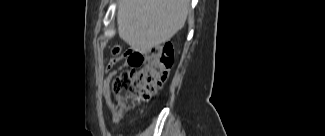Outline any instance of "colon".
<instances>
[{
  "mask_svg": "<svg viewBox=\"0 0 325 136\" xmlns=\"http://www.w3.org/2000/svg\"><path fill=\"white\" fill-rule=\"evenodd\" d=\"M115 58L122 56L119 46L113 49ZM173 64V49L168 43L154 46L146 55L143 67L119 92L118 102L121 111H128L135 103H146L162 87L168 78Z\"/></svg>",
  "mask_w": 325,
  "mask_h": 136,
  "instance_id": "5ec220e1",
  "label": "colon"
}]
</instances>
